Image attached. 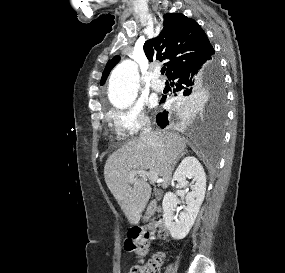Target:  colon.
Returning <instances> with one entry per match:
<instances>
[{
    "mask_svg": "<svg viewBox=\"0 0 285 273\" xmlns=\"http://www.w3.org/2000/svg\"><path fill=\"white\" fill-rule=\"evenodd\" d=\"M165 238L166 231L159 229L157 232L143 229L134 230L124 241V248L127 252L135 254L138 258H144L149 251V240L151 238ZM163 264L161 256H155L146 263L140 262L133 267L129 273H159Z\"/></svg>",
    "mask_w": 285,
    "mask_h": 273,
    "instance_id": "1",
    "label": "colon"
}]
</instances>
